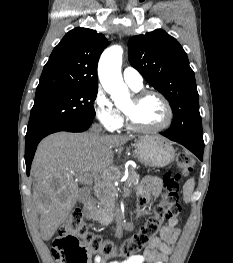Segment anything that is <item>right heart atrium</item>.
<instances>
[{
  "label": "right heart atrium",
  "mask_w": 233,
  "mask_h": 263,
  "mask_svg": "<svg viewBox=\"0 0 233 263\" xmlns=\"http://www.w3.org/2000/svg\"><path fill=\"white\" fill-rule=\"evenodd\" d=\"M93 106L98 121L107 131L114 132L122 126L121 112L115 107L101 86L96 89Z\"/></svg>",
  "instance_id": "obj_1"
}]
</instances>
